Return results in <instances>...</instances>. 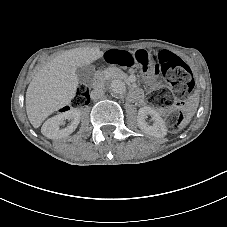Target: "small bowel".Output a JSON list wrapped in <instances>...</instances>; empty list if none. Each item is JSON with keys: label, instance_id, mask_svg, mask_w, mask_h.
<instances>
[{"label": "small bowel", "instance_id": "obj_1", "mask_svg": "<svg viewBox=\"0 0 227 227\" xmlns=\"http://www.w3.org/2000/svg\"><path fill=\"white\" fill-rule=\"evenodd\" d=\"M134 53L144 54V55H146V56H148V57H150V58L155 60V58L157 57L158 51L149 52V51H146V50H137Z\"/></svg>", "mask_w": 227, "mask_h": 227}]
</instances>
